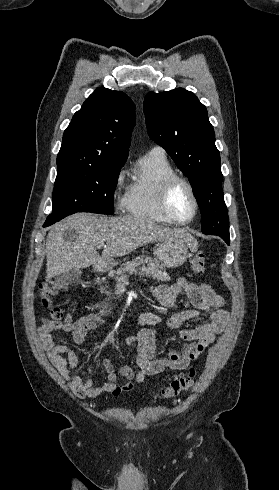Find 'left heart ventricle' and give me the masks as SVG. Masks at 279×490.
I'll return each mask as SVG.
<instances>
[{
  "instance_id": "b2bd125f",
  "label": "left heart ventricle",
  "mask_w": 279,
  "mask_h": 490,
  "mask_svg": "<svg viewBox=\"0 0 279 490\" xmlns=\"http://www.w3.org/2000/svg\"><path fill=\"white\" fill-rule=\"evenodd\" d=\"M193 200L188 188L180 185L172 198V210L179 220H187L193 212Z\"/></svg>"
}]
</instances>
